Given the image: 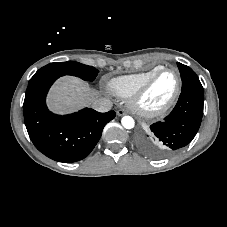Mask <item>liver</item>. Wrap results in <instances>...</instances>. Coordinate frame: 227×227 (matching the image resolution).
<instances>
[{
	"label": "liver",
	"instance_id": "6515ba94",
	"mask_svg": "<svg viewBox=\"0 0 227 227\" xmlns=\"http://www.w3.org/2000/svg\"><path fill=\"white\" fill-rule=\"evenodd\" d=\"M98 98V92L75 77H63L51 88L48 105L54 112L63 114L90 105Z\"/></svg>",
	"mask_w": 227,
	"mask_h": 227
}]
</instances>
